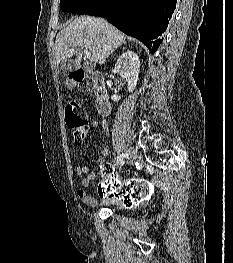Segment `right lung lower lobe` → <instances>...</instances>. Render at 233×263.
Instances as JSON below:
<instances>
[{
    "instance_id": "right-lung-lower-lobe-1",
    "label": "right lung lower lobe",
    "mask_w": 233,
    "mask_h": 263,
    "mask_svg": "<svg viewBox=\"0 0 233 263\" xmlns=\"http://www.w3.org/2000/svg\"><path fill=\"white\" fill-rule=\"evenodd\" d=\"M177 0H101L88 15L106 17L119 30L143 42L154 53Z\"/></svg>"
}]
</instances>
